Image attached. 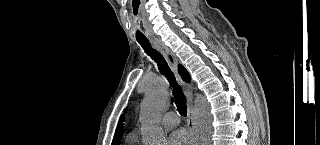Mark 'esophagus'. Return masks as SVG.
<instances>
[{
  "mask_svg": "<svg viewBox=\"0 0 320 145\" xmlns=\"http://www.w3.org/2000/svg\"><path fill=\"white\" fill-rule=\"evenodd\" d=\"M151 42L164 55L170 67L173 69V71L177 73L178 60L174 55V53L167 46H165L160 40L156 38H151ZM183 85H184L185 93L187 97V127L194 145L195 126H194L193 97L188 85L184 82H183Z\"/></svg>",
  "mask_w": 320,
  "mask_h": 145,
  "instance_id": "34e87169",
  "label": "esophagus"
}]
</instances>
